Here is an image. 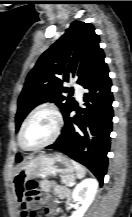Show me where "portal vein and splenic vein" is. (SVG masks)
Wrapping results in <instances>:
<instances>
[{
	"label": "portal vein and splenic vein",
	"instance_id": "1",
	"mask_svg": "<svg viewBox=\"0 0 132 217\" xmlns=\"http://www.w3.org/2000/svg\"><path fill=\"white\" fill-rule=\"evenodd\" d=\"M74 183H70V186H73Z\"/></svg>",
	"mask_w": 132,
	"mask_h": 217
}]
</instances>
